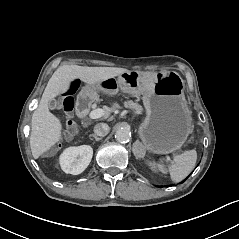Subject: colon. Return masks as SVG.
<instances>
[{
  "instance_id": "colon-1",
  "label": "colon",
  "mask_w": 239,
  "mask_h": 239,
  "mask_svg": "<svg viewBox=\"0 0 239 239\" xmlns=\"http://www.w3.org/2000/svg\"><path fill=\"white\" fill-rule=\"evenodd\" d=\"M74 87L72 90L67 94V97L64 100V110L70 114L74 108V98H73V93H74ZM75 124L72 121H69L67 124V130L69 133H73L75 131Z\"/></svg>"
}]
</instances>
